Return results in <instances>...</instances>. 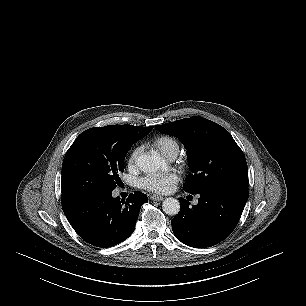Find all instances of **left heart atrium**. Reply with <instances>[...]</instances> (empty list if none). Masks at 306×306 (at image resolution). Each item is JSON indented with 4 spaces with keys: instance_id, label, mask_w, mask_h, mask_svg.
<instances>
[{
    "instance_id": "1",
    "label": "left heart atrium",
    "mask_w": 306,
    "mask_h": 306,
    "mask_svg": "<svg viewBox=\"0 0 306 306\" xmlns=\"http://www.w3.org/2000/svg\"><path fill=\"white\" fill-rule=\"evenodd\" d=\"M178 180L175 173L149 174L140 180V186L150 192L164 194L169 192Z\"/></svg>"
}]
</instances>
